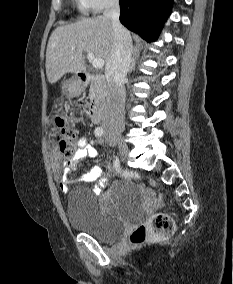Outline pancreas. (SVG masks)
<instances>
[{
  "mask_svg": "<svg viewBox=\"0 0 233 284\" xmlns=\"http://www.w3.org/2000/svg\"><path fill=\"white\" fill-rule=\"evenodd\" d=\"M89 96H90V98H91V99H94V98L96 97V95H95V91H94V89H93V88H91V89H90Z\"/></svg>",
  "mask_w": 233,
  "mask_h": 284,
  "instance_id": "obj_1",
  "label": "pancreas"
}]
</instances>
